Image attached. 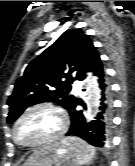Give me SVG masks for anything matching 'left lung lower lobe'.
Masks as SVG:
<instances>
[{"instance_id":"0a47b994","label":"left lung lower lobe","mask_w":135,"mask_h":166,"mask_svg":"<svg viewBox=\"0 0 135 166\" xmlns=\"http://www.w3.org/2000/svg\"><path fill=\"white\" fill-rule=\"evenodd\" d=\"M86 71H91L98 78L100 105L95 120L87 123L83 112L75 108L79 102L74 100L68 112L71 116V127L66 136H78L96 147H104L109 143L112 127V96L110 84L104 73L100 55H96ZM85 78V74L82 79Z\"/></svg>"}]
</instances>
